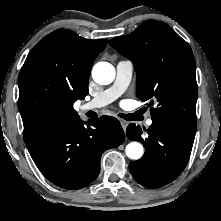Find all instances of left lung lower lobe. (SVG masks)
<instances>
[{
  "mask_svg": "<svg viewBox=\"0 0 221 221\" xmlns=\"http://www.w3.org/2000/svg\"><path fill=\"white\" fill-rule=\"evenodd\" d=\"M152 125L144 131L130 124L126 134L130 140L140 141L145 147L143 157L129 164L133 178L148 188H160L175 180L190 157L196 128L152 117Z\"/></svg>",
  "mask_w": 221,
  "mask_h": 221,
  "instance_id": "1",
  "label": "left lung lower lobe"
}]
</instances>
